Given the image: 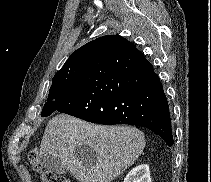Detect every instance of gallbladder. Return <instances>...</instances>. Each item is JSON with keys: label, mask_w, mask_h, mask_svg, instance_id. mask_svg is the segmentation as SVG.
Masks as SVG:
<instances>
[{"label": "gallbladder", "mask_w": 211, "mask_h": 182, "mask_svg": "<svg viewBox=\"0 0 211 182\" xmlns=\"http://www.w3.org/2000/svg\"><path fill=\"white\" fill-rule=\"evenodd\" d=\"M76 152L83 160H95L96 158L95 153L87 146L78 147ZM42 162L44 167L54 174H65L68 172V168L56 157L44 156Z\"/></svg>", "instance_id": "obj_1"}]
</instances>
